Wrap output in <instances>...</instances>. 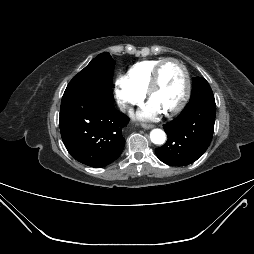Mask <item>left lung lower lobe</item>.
Wrapping results in <instances>:
<instances>
[{
    "mask_svg": "<svg viewBox=\"0 0 254 254\" xmlns=\"http://www.w3.org/2000/svg\"><path fill=\"white\" fill-rule=\"evenodd\" d=\"M215 114V103L189 102L178 117L163 125L168 140L155 149L157 157L170 166L195 162L210 145Z\"/></svg>",
    "mask_w": 254,
    "mask_h": 254,
    "instance_id": "0a47b994",
    "label": "left lung lower lobe"
}]
</instances>
